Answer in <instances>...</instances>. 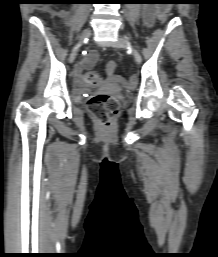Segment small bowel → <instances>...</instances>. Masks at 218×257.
<instances>
[{"label": "small bowel", "instance_id": "c3829d8e", "mask_svg": "<svg viewBox=\"0 0 218 257\" xmlns=\"http://www.w3.org/2000/svg\"><path fill=\"white\" fill-rule=\"evenodd\" d=\"M157 11L159 10L152 6H147L143 9V13H142L143 19L147 26H152L156 19H160V16H157ZM97 57L98 55L96 51L92 50L88 52V54L85 56L82 62L81 68L87 69V70L91 69L95 64ZM74 78H78L76 79V84H83L82 80L84 78H83V74L80 73V71L79 73H74Z\"/></svg>", "mask_w": 218, "mask_h": 257}]
</instances>
